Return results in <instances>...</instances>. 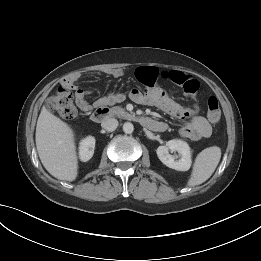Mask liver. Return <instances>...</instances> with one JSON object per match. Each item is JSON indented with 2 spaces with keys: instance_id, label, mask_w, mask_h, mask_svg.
<instances>
[{
  "instance_id": "6515ba94",
  "label": "liver",
  "mask_w": 261,
  "mask_h": 261,
  "mask_svg": "<svg viewBox=\"0 0 261 261\" xmlns=\"http://www.w3.org/2000/svg\"><path fill=\"white\" fill-rule=\"evenodd\" d=\"M35 141L39 158L52 176L65 181L76 179L78 158L74 132L45 107L38 117Z\"/></svg>"
}]
</instances>
